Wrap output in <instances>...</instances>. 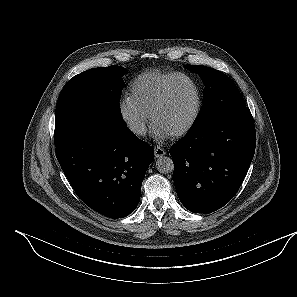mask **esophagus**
I'll return each mask as SVG.
<instances>
[{
	"label": "esophagus",
	"mask_w": 297,
	"mask_h": 297,
	"mask_svg": "<svg viewBox=\"0 0 297 297\" xmlns=\"http://www.w3.org/2000/svg\"><path fill=\"white\" fill-rule=\"evenodd\" d=\"M165 154H166V151L163 148H161L159 146L154 147V155L156 158L164 156Z\"/></svg>",
	"instance_id": "obj_1"
}]
</instances>
